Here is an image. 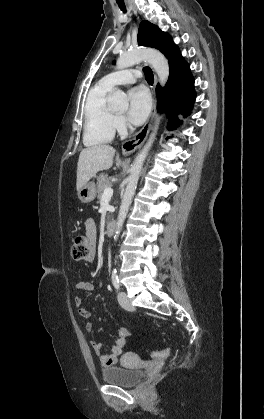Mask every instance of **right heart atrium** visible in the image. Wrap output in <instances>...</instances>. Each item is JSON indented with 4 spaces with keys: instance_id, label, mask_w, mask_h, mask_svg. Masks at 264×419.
<instances>
[{
    "instance_id": "right-heart-atrium-1",
    "label": "right heart atrium",
    "mask_w": 264,
    "mask_h": 419,
    "mask_svg": "<svg viewBox=\"0 0 264 419\" xmlns=\"http://www.w3.org/2000/svg\"><path fill=\"white\" fill-rule=\"evenodd\" d=\"M127 128H128V124H127V121L124 118V116H122V115H116L115 116V129L119 133H123V132L126 131Z\"/></svg>"
}]
</instances>
